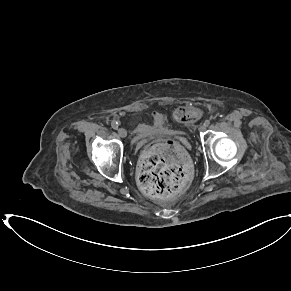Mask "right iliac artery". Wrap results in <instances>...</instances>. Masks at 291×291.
I'll list each match as a JSON object with an SVG mask.
<instances>
[{"mask_svg": "<svg viewBox=\"0 0 291 291\" xmlns=\"http://www.w3.org/2000/svg\"><path fill=\"white\" fill-rule=\"evenodd\" d=\"M111 126H112L113 129L117 130L118 127H119V123H118L117 121H113V122L111 123Z\"/></svg>", "mask_w": 291, "mask_h": 291, "instance_id": "1", "label": "right iliac artery"}]
</instances>
